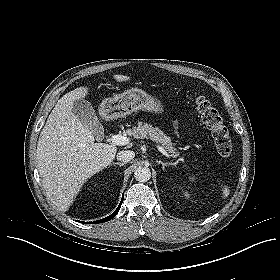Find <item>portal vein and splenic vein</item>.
<instances>
[{
    "label": "portal vein and splenic vein",
    "instance_id": "portal-vein-and-splenic-vein-1",
    "mask_svg": "<svg viewBox=\"0 0 280 280\" xmlns=\"http://www.w3.org/2000/svg\"><path fill=\"white\" fill-rule=\"evenodd\" d=\"M110 140L113 144L120 145V146L127 145L129 143V138H127L123 135H120V134L113 135ZM157 148L166 157L170 156L163 147L157 145Z\"/></svg>",
    "mask_w": 280,
    "mask_h": 280
}]
</instances>
